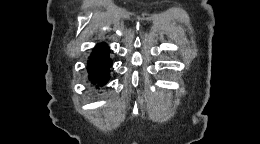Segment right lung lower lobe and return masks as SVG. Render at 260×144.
I'll return each mask as SVG.
<instances>
[{
	"instance_id": "98d812e1",
	"label": "right lung lower lobe",
	"mask_w": 260,
	"mask_h": 144,
	"mask_svg": "<svg viewBox=\"0 0 260 144\" xmlns=\"http://www.w3.org/2000/svg\"><path fill=\"white\" fill-rule=\"evenodd\" d=\"M112 60L109 57V48L106 44H98L89 57L87 71L92 84L104 86L110 75Z\"/></svg>"
}]
</instances>
